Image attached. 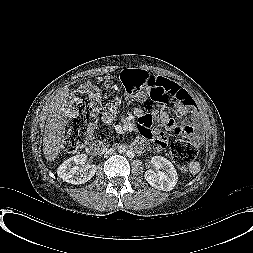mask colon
<instances>
[{
    "mask_svg": "<svg viewBox=\"0 0 253 253\" xmlns=\"http://www.w3.org/2000/svg\"><path fill=\"white\" fill-rule=\"evenodd\" d=\"M121 82L126 94L146 108H151L155 103L167 104L178 100L179 89L174 82L142 69L124 70ZM99 108V95L90 85H84L72 94L64 135V148L68 153L78 151L86 143ZM196 155L194 136L189 140L177 139L171 145L172 159L182 172L187 170Z\"/></svg>",
    "mask_w": 253,
    "mask_h": 253,
    "instance_id": "colon-1",
    "label": "colon"
}]
</instances>
